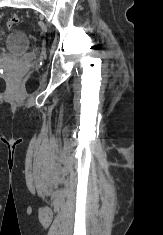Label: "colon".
Listing matches in <instances>:
<instances>
[{
	"label": "colon",
	"mask_w": 163,
	"mask_h": 235,
	"mask_svg": "<svg viewBox=\"0 0 163 235\" xmlns=\"http://www.w3.org/2000/svg\"><path fill=\"white\" fill-rule=\"evenodd\" d=\"M18 23H19V17L16 15H13L8 19L6 25L10 29L16 26Z\"/></svg>",
	"instance_id": "5ec220e1"
}]
</instances>
